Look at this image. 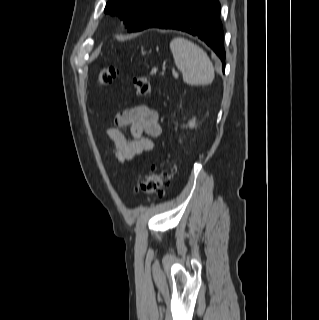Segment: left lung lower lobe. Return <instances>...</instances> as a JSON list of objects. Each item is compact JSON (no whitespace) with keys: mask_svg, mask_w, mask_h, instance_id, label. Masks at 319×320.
<instances>
[{"mask_svg":"<svg viewBox=\"0 0 319 320\" xmlns=\"http://www.w3.org/2000/svg\"><path fill=\"white\" fill-rule=\"evenodd\" d=\"M218 0H157L128 28L137 32L147 28L176 29L198 37L220 58L225 68L223 27Z\"/></svg>","mask_w":319,"mask_h":320,"instance_id":"obj_1","label":"left lung lower lobe"}]
</instances>
